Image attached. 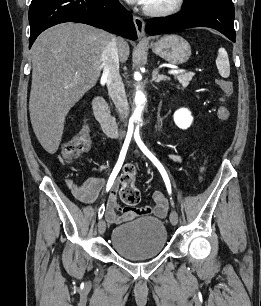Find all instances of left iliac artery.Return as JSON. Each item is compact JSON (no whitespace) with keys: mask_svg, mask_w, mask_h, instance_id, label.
I'll return each mask as SVG.
<instances>
[{"mask_svg":"<svg viewBox=\"0 0 261 306\" xmlns=\"http://www.w3.org/2000/svg\"><path fill=\"white\" fill-rule=\"evenodd\" d=\"M135 140L137 145L139 146V148L142 150V152L155 164V166L158 168V170L160 171L166 187L168 189V192L171 193V186H170V181L168 178V175L164 169V167L161 165V163L157 160V158L147 149V147L144 145V143L142 142V140L140 139L138 134H135Z\"/></svg>","mask_w":261,"mask_h":306,"instance_id":"obj_1","label":"left iliac artery"}]
</instances>
